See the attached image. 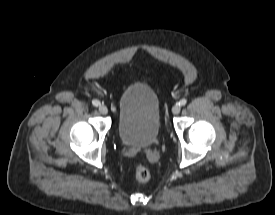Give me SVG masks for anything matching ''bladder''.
<instances>
[{"label": "bladder", "mask_w": 275, "mask_h": 215, "mask_svg": "<svg viewBox=\"0 0 275 215\" xmlns=\"http://www.w3.org/2000/svg\"><path fill=\"white\" fill-rule=\"evenodd\" d=\"M117 109L118 135L125 145L146 148L156 142L160 107L152 88L143 83L127 86L120 95Z\"/></svg>", "instance_id": "bladder-1"}]
</instances>
